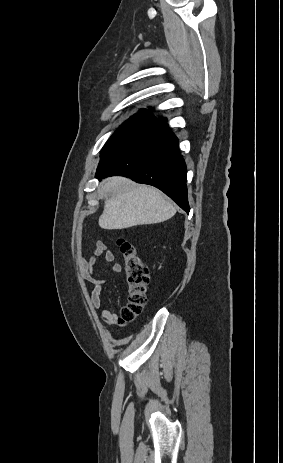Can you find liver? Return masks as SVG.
<instances>
[{
    "label": "liver",
    "mask_w": 283,
    "mask_h": 463,
    "mask_svg": "<svg viewBox=\"0 0 283 463\" xmlns=\"http://www.w3.org/2000/svg\"><path fill=\"white\" fill-rule=\"evenodd\" d=\"M106 193L99 226L107 230L156 224L172 218L177 209L158 189L123 177L104 179Z\"/></svg>",
    "instance_id": "liver-1"
}]
</instances>
